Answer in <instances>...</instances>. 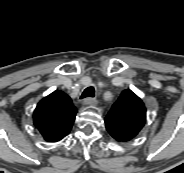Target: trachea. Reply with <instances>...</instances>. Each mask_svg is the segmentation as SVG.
Listing matches in <instances>:
<instances>
[{"label": "trachea", "instance_id": "1", "mask_svg": "<svg viewBox=\"0 0 184 173\" xmlns=\"http://www.w3.org/2000/svg\"><path fill=\"white\" fill-rule=\"evenodd\" d=\"M94 96H95V89L94 87L90 86L83 91L80 98L83 99L86 97H94Z\"/></svg>", "mask_w": 184, "mask_h": 173}]
</instances>
